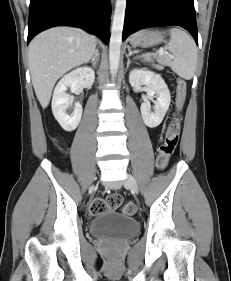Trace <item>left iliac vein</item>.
<instances>
[{"instance_id": "1", "label": "left iliac vein", "mask_w": 231, "mask_h": 281, "mask_svg": "<svg viewBox=\"0 0 231 281\" xmlns=\"http://www.w3.org/2000/svg\"><path fill=\"white\" fill-rule=\"evenodd\" d=\"M124 185L127 188L131 189L134 193L138 194L139 187L137 185L135 178L132 175L127 174L126 180L124 181Z\"/></svg>"}]
</instances>
